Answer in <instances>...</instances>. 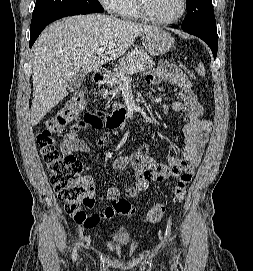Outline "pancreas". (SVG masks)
<instances>
[{
  "mask_svg": "<svg viewBox=\"0 0 253 271\" xmlns=\"http://www.w3.org/2000/svg\"><path fill=\"white\" fill-rule=\"evenodd\" d=\"M133 65H141L142 70L151 69L155 66L153 59L141 49H135L122 57L118 64L115 66L114 71L110 74L108 85L115 88L118 91L122 86L124 77L128 76L127 69ZM121 104L114 103L113 107L116 108Z\"/></svg>",
  "mask_w": 253,
  "mask_h": 271,
  "instance_id": "obj_1",
  "label": "pancreas"
}]
</instances>
